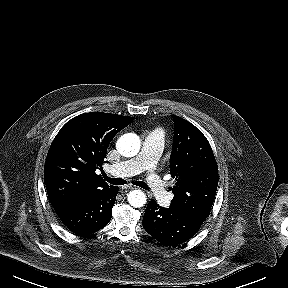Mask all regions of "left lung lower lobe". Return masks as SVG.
Wrapping results in <instances>:
<instances>
[{
	"mask_svg": "<svg viewBox=\"0 0 288 288\" xmlns=\"http://www.w3.org/2000/svg\"><path fill=\"white\" fill-rule=\"evenodd\" d=\"M202 223V220L178 209L163 208L153 199L148 203L142 221L147 233L168 246H175L190 239Z\"/></svg>",
	"mask_w": 288,
	"mask_h": 288,
	"instance_id": "obj_1",
	"label": "left lung lower lobe"
}]
</instances>
